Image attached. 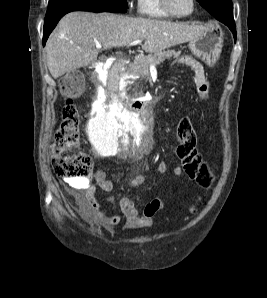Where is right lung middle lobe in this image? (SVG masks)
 <instances>
[{"label":"right lung middle lobe","instance_id":"obj_1","mask_svg":"<svg viewBox=\"0 0 267 298\" xmlns=\"http://www.w3.org/2000/svg\"><path fill=\"white\" fill-rule=\"evenodd\" d=\"M77 6H86L101 12L125 13L126 0H49L45 21L52 19L58 13Z\"/></svg>","mask_w":267,"mask_h":298}]
</instances>
